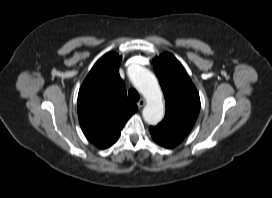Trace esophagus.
Listing matches in <instances>:
<instances>
[{
  "label": "esophagus",
  "mask_w": 272,
  "mask_h": 198,
  "mask_svg": "<svg viewBox=\"0 0 272 198\" xmlns=\"http://www.w3.org/2000/svg\"><path fill=\"white\" fill-rule=\"evenodd\" d=\"M144 105H145V100H144V99H140V100L137 102L138 108H142Z\"/></svg>",
  "instance_id": "1"
}]
</instances>
